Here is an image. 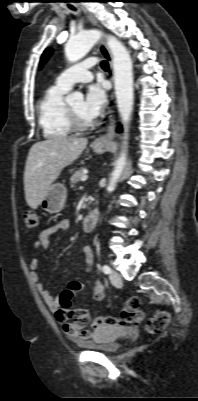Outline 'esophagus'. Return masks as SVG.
Listing matches in <instances>:
<instances>
[{
    "instance_id": "34e87169",
    "label": "esophagus",
    "mask_w": 198,
    "mask_h": 401,
    "mask_svg": "<svg viewBox=\"0 0 198 401\" xmlns=\"http://www.w3.org/2000/svg\"><path fill=\"white\" fill-rule=\"evenodd\" d=\"M81 10L87 15L88 19L90 20V22L93 25L98 26V22L92 13H90L83 6H81ZM99 49H100V52L103 55V57L109 62V65H110L109 77L111 80H113L114 73H113V67H112V56H111V53L104 40L100 41ZM108 121H109V124H108L105 134H103L102 136H100L99 138L96 139L97 144H106L114 137L115 113H114V110L111 108L109 109V112H108Z\"/></svg>"
}]
</instances>
